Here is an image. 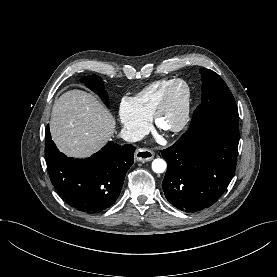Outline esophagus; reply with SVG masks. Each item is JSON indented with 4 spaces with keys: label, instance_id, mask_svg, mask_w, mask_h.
<instances>
[{
    "label": "esophagus",
    "instance_id": "34e87169",
    "mask_svg": "<svg viewBox=\"0 0 277 277\" xmlns=\"http://www.w3.org/2000/svg\"><path fill=\"white\" fill-rule=\"evenodd\" d=\"M154 157V153L145 148H139L135 151V159L140 162H148L152 160Z\"/></svg>",
    "mask_w": 277,
    "mask_h": 277
}]
</instances>
